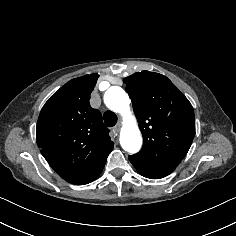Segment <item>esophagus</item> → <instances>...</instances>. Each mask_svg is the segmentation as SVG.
Segmentation results:
<instances>
[{"instance_id":"esophagus-1","label":"esophagus","mask_w":236,"mask_h":236,"mask_svg":"<svg viewBox=\"0 0 236 236\" xmlns=\"http://www.w3.org/2000/svg\"><path fill=\"white\" fill-rule=\"evenodd\" d=\"M120 128H121V124L118 123L117 125H115V126L113 127V131L117 133V132L120 131Z\"/></svg>"}]
</instances>
